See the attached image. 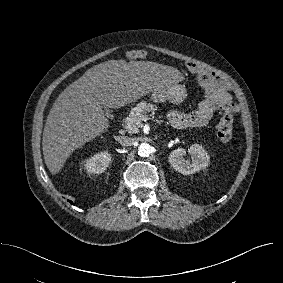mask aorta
Here are the masks:
<instances>
[{
  "instance_id": "1",
  "label": "aorta",
  "mask_w": 283,
  "mask_h": 283,
  "mask_svg": "<svg viewBox=\"0 0 283 283\" xmlns=\"http://www.w3.org/2000/svg\"><path fill=\"white\" fill-rule=\"evenodd\" d=\"M151 154V146L148 143H141L138 147V155L148 157Z\"/></svg>"
}]
</instances>
